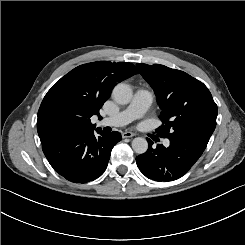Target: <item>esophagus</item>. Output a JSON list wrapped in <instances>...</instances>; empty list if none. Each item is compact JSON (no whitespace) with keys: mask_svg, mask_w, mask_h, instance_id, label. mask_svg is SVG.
<instances>
[{"mask_svg":"<svg viewBox=\"0 0 245 245\" xmlns=\"http://www.w3.org/2000/svg\"><path fill=\"white\" fill-rule=\"evenodd\" d=\"M135 135H136V134L133 133V132H123L122 137H123V138H130V137H133V136H135Z\"/></svg>","mask_w":245,"mask_h":245,"instance_id":"1","label":"esophagus"}]
</instances>
